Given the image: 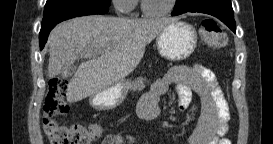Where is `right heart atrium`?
Masks as SVG:
<instances>
[{"label": "right heart atrium", "mask_w": 273, "mask_h": 144, "mask_svg": "<svg viewBox=\"0 0 273 144\" xmlns=\"http://www.w3.org/2000/svg\"><path fill=\"white\" fill-rule=\"evenodd\" d=\"M116 13L121 15L130 14L136 7V0H112Z\"/></svg>", "instance_id": "1"}]
</instances>
